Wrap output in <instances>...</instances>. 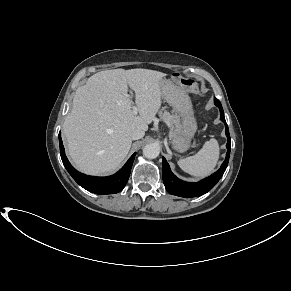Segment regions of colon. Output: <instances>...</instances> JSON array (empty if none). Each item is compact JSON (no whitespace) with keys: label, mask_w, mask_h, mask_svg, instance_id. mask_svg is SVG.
Masks as SVG:
<instances>
[{"label":"colon","mask_w":291,"mask_h":291,"mask_svg":"<svg viewBox=\"0 0 291 291\" xmlns=\"http://www.w3.org/2000/svg\"><path fill=\"white\" fill-rule=\"evenodd\" d=\"M178 79L180 80L181 84L184 86H192L194 81L189 77H184L177 75Z\"/></svg>","instance_id":"colon-1"}]
</instances>
